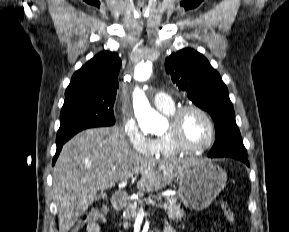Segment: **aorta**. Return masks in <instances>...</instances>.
Masks as SVG:
<instances>
[{
	"label": "aorta",
	"instance_id": "aorta-1",
	"mask_svg": "<svg viewBox=\"0 0 289 232\" xmlns=\"http://www.w3.org/2000/svg\"><path fill=\"white\" fill-rule=\"evenodd\" d=\"M138 68L143 71L139 76L141 80L149 78L151 73V65L149 62L140 63ZM135 114L137 116L140 128L145 133H158L165 129V119L149 104L143 91H139L135 97Z\"/></svg>",
	"mask_w": 289,
	"mask_h": 232
}]
</instances>
